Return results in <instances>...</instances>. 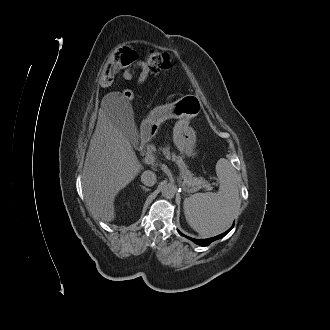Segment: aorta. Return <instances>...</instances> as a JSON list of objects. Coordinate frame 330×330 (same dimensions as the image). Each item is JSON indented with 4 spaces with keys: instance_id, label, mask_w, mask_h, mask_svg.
<instances>
[{
    "instance_id": "obj_1",
    "label": "aorta",
    "mask_w": 330,
    "mask_h": 330,
    "mask_svg": "<svg viewBox=\"0 0 330 330\" xmlns=\"http://www.w3.org/2000/svg\"><path fill=\"white\" fill-rule=\"evenodd\" d=\"M177 187L172 183H165L161 188L162 196L171 199L175 196Z\"/></svg>"
}]
</instances>
